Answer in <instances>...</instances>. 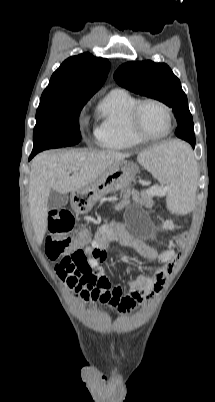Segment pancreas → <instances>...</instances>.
Wrapping results in <instances>:
<instances>
[{"instance_id":"pancreas-1","label":"pancreas","mask_w":215,"mask_h":402,"mask_svg":"<svg viewBox=\"0 0 215 402\" xmlns=\"http://www.w3.org/2000/svg\"><path fill=\"white\" fill-rule=\"evenodd\" d=\"M131 193L132 192L130 190H126L123 192V199L119 204L115 205V210H121L124 206L130 203Z\"/></svg>"}]
</instances>
